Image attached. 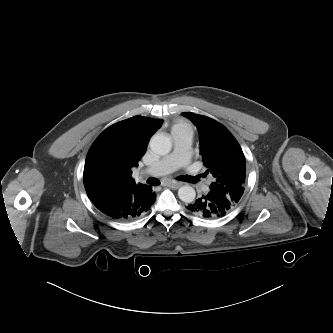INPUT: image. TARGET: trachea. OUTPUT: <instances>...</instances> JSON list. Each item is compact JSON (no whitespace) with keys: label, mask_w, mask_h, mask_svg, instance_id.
<instances>
[{"label":"trachea","mask_w":333,"mask_h":333,"mask_svg":"<svg viewBox=\"0 0 333 333\" xmlns=\"http://www.w3.org/2000/svg\"><path fill=\"white\" fill-rule=\"evenodd\" d=\"M200 177L201 176L192 177V176L184 175V176L179 177V179L183 180V181H186V182L195 183L199 180ZM147 183L150 184V185H158L160 182H159L158 179L150 177L147 180Z\"/></svg>","instance_id":"1"}]
</instances>
